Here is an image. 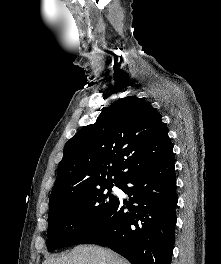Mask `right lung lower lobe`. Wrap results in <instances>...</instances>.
Wrapping results in <instances>:
<instances>
[{"label": "right lung lower lobe", "instance_id": "right-lung-lower-lobe-1", "mask_svg": "<svg viewBox=\"0 0 221 264\" xmlns=\"http://www.w3.org/2000/svg\"><path fill=\"white\" fill-rule=\"evenodd\" d=\"M174 165L172 154L123 180L120 189L130 202L118 200L80 243L109 247L131 264H170L177 204Z\"/></svg>", "mask_w": 221, "mask_h": 264}]
</instances>
